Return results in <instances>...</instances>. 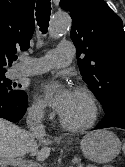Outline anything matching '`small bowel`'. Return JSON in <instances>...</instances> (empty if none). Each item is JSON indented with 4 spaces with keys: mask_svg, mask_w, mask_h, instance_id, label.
Returning <instances> with one entry per match:
<instances>
[{
    "mask_svg": "<svg viewBox=\"0 0 125 167\" xmlns=\"http://www.w3.org/2000/svg\"><path fill=\"white\" fill-rule=\"evenodd\" d=\"M105 167H114V166H112V165H108V166H105Z\"/></svg>",
    "mask_w": 125,
    "mask_h": 167,
    "instance_id": "c3829d8e",
    "label": "small bowel"
}]
</instances>
